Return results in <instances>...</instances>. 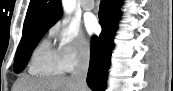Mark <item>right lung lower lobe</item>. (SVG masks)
Instances as JSON below:
<instances>
[{
	"label": "right lung lower lobe",
	"mask_w": 173,
	"mask_h": 91,
	"mask_svg": "<svg viewBox=\"0 0 173 91\" xmlns=\"http://www.w3.org/2000/svg\"><path fill=\"white\" fill-rule=\"evenodd\" d=\"M121 0H101L99 20L102 32L92 37L87 83L93 91H104L110 66L114 35L120 19Z\"/></svg>",
	"instance_id": "right-lung-lower-lobe-1"
}]
</instances>
